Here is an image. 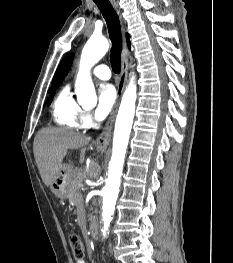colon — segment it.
<instances>
[{
	"mask_svg": "<svg viewBox=\"0 0 233 263\" xmlns=\"http://www.w3.org/2000/svg\"><path fill=\"white\" fill-rule=\"evenodd\" d=\"M69 242L72 247L74 259L77 262L82 261L85 257V246L82 238L76 233H71L69 235Z\"/></svg>",
	"mask_w": 233,
	"mask_h": 263,
	"instance_id": "1",
	"label": "colon"
}]
</instances>
